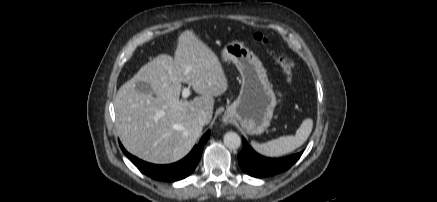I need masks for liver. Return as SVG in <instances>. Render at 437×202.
Segmentation results:
<instances>
[{"label":"liver","mask_w":437,"mask_h":202,"mask_svg":"<svg viewBox=\"0 0 437 202\" xmlns=\"http://www.w3.org/2000/svg\"><path fill=\"white\" fill-rule=\"evenodd\" d=\"M174 58L158 55L124 83L114 99L116 130L128 152L155 164L182 159L200 137L198 116L212 119L214 98L228 88L217 55L194 33L186 30L177 40ZM188 69V73H185ZM149 83L152 93L135 89ZM201 96L180 100L181 83Z\"/></svg>","instance_id":"1"}]
</instances>
